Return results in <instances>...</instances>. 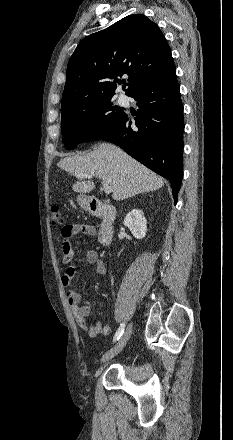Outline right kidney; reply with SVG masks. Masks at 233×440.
<instances>
[{
    "label": "right kidney",
    "mask_w": 233,
    "mask_h": 440,
    "mask_svg": "<svg viewBox=\"0 0 233 440\" xmlns=\"http://www.w3.org/2000/svg\"><path fill=\"white\" fill-rule=\"evenodd\" d=\"M123 223L129 228L135 238L143 239L145 237L147 231V221L141 210H131L124 218Z\"/></svg>",
    "instance_id": "obj_1"
}]
</instances>
